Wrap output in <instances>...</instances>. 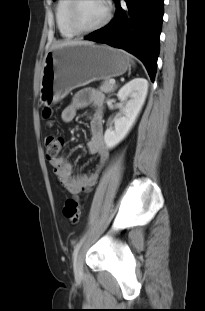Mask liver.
<instances>
[{
    "label": "liver",
    "instance_id": "liver-1",
    "mask_svg": "<svg viewBox=\"0 0 205 311\" xmlns=\"http://www.w3.org/2000/svg\"><path fill=\"white\" fill-rule=\"evenodd\" d=\"M71 44H91V42L90 41H78V40H75V41L65 40L62 42L55 43L52 48L62 47V46L71 45Z\"/></svg>",
    "mask_w": 205,
    "mask_h": 311
}]
</instances>
